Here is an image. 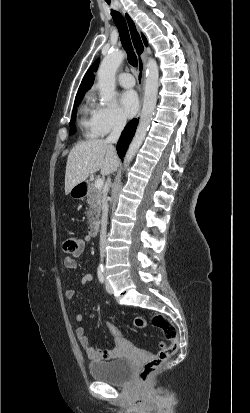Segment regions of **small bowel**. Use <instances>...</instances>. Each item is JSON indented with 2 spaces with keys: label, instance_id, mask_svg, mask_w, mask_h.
Here are the masks:
<instances>
[{
  "label": "small bowel",
  "instance_id": "c3829d8e",
  "mask_svg": "<svg viewBox=\"0 0 250 413\" xmlns=\"http://www.w3.org/2000/svg\"><path fill=\"white\" fill-rule=\"evenodd\" d=\"M89 241V237L85 236L84 238L79 240V249L76 253L72 254L71 256H67L64 258V266L69 270H75L77 268V261L76 257H78L85 249L86 242ZM93 281V276L87 274L82 279V284H86L88 282ZM76 296V290L73 288H69L65 291V297L68 300L74 299ZM75 319L77 321H82L83 315L80 312L75 314ZM77 339L81 345V347L85 350L89 359L94 361H101V360H112L115 359L120 354V345L124 341V337L120 339H115L117 347L111 350H99L93 347L90 343L88 335L85 333L83 327H78L75 331Z\"/></svg>",
  "mask_w": 250,
  "mask_h": 413
}]
</instances>
